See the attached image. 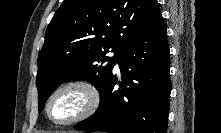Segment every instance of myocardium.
I'll list each match as a JSON object with an SVG mask.
<instances>
[{
    "mask_svg": "<svg viewBox=\"0 0 221 133\" xmlns=\"http://www.w3.org/2000/svg\"><path fill=\"white\" fill-rule=\"evenodd\" d=\"M68 90L79 91L84 97V105L78 112H76L70 118L62 121L54 120L50 115V106L53 100L60 93ZM100 100H101L100 91L97 88V86L91 81L81 78L67 80L59 84L57 87H55L48 96L44 107L45 116L48 119V121L53 125L56 126L72 125L91 117L97 111L100 104Z\"/></svg>",
    "mask_w": 221,
    "mask_h": 133,
    "instance_id": "myocardium-1",
    "label": "myocardium"
}]
</instances>
